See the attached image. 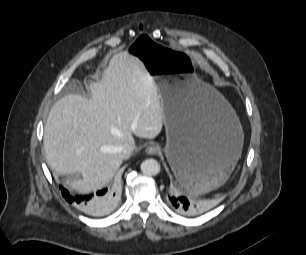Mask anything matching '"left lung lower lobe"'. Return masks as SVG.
I'll return each mask as SVG.
<instances>
[{
  "instance_id": "obj_1",
  "label": "left lung lower lobe",
  "mask_w": 306,
  "mask_h": 255,
  "mask_svg": "<svg viewBox=\"0 0 306 255\" xmlns=\"http://www.w3.org/2000/svg\"><path fill=\"white\" fill-rule=\"evenodd\" d=\"M193 172L194 170L191 167H186L182 173V183H191L193 179ZM168 197L172 208L183 215H197L203 209L202 202L192 201L181 195L174 188L169 192Z\"/></svg>"
}]
</instances>
